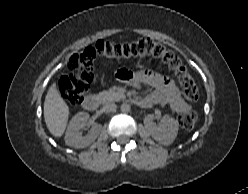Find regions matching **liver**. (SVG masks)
<instances>
[{
    "mask_svg": "<svg viewBox=\"0 0 248 194\" xmlns=\"http://www.w3.org/2000/svg\"><path fill=\"white\" fill-rule=\"evenodd\" d=\"M69 107L61 97L56 83H53L45 97L44 119L46 126L54 137H61L69 119Z\"/></svg>",
    "mask_w": 248,
    "mask_h": 194,
    "instance_id": "6515ba94",
    "label": "liver"
}]
</instances>
